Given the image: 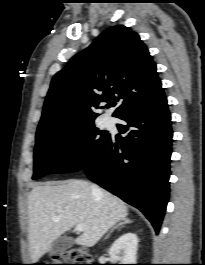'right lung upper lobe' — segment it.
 I'll return each instance as SVG.
<instances>
[{
  "label": "right lung upper lobe",
  "instance_id": "right-lung-upper-lobe-1",
  "mask_svg": "<svg viewBox=\"0 0 205 265\" xmlns=\"http://www.w3.org/2000/svg\"><path fill=\"white\" fill-rule=\"evenodd\" d=\"M162 84L136 32L112 26L53 78L38 129L95 120L96 108L116 106L114 117L152 100Z\"/></svg>",
  "mask_w": 205,
  "mask_h": 265
}]
</instances>
